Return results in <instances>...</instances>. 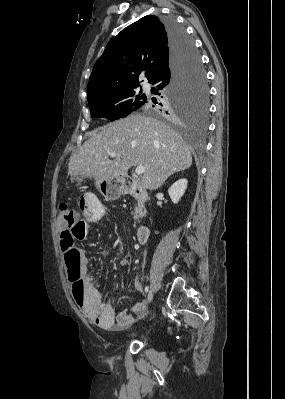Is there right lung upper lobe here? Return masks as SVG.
Here are the masks:
<instances>
[{
	"label": "right lung upper lobe",
	"instance_id": "obj_1",
	"mask_svg": "<svg viewBox=\"0 0 285 399\" xmlns=\"http://www.w3.org/2000/svg\"><path fill=\"white\" fill-rule=\"evenodd\" d=\"M170 59L169 39L164 23L145 16L109 41L94 65L88 83V101L139 86L146 70L151 83Z\"/></svg>",
	"mask_w": 285,
	"mask_h": 399
}]
</instances>
